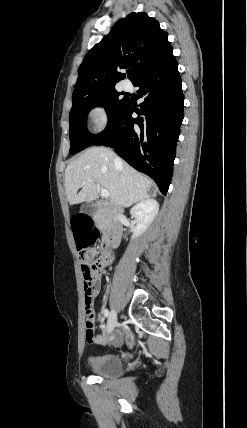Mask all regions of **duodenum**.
<instances>
[{
    "label": "duodenum",
    "instance_id": "1",
    "mask_svg": "<svg viewBox=\"0 0 247 428\" xmlns=\"http://www.w3.org/2000/svg\"><path fill=\"white\" fill-rule=\"evenodd\" d=\"M95 204L102 206L106 210L108 216V229L104 247L111 249L116 248L119 245L122 236V226L119 218L107 202L96 200Z\"/></svg>",
    "mask_w": 247,
    "mask_h": 428
}]
</instances>
